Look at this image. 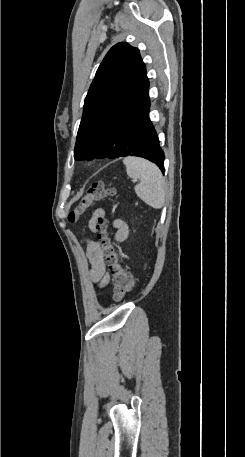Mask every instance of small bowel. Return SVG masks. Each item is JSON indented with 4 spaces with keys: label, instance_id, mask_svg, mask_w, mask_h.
Returning a JSON list of instances; mask_svg holds the SVG:
<instances>
[{
    "label": "small bowel",
    "instance_id": "c3829d8e",
    "mask_svg": "<svg viewBox=\"0 0 245 457\" xmlns=\"http://www.w3.org/2000/svg\"><path fill=\"white\" fill-rule=\"evenodd\" d=\"M105 216L104 209H96L89 221V227L92 231L97 228V222ZM116 229L117 241H124L129 233L128 225L121 219H116L113 222ZM87 257L91 263L90 278L100 286H104L109 281V273L106 270L103 255L99 245L94 241H87Z\"/></svg>",
    "mask_w": 245,
    "mask_h": 457
}]
</instances>
